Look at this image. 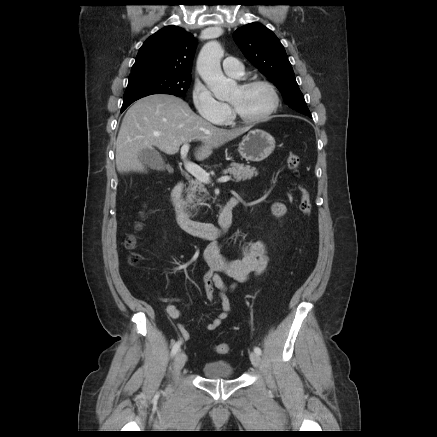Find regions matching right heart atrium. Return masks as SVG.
Returning a JSON list of instances; mask_svg holds the SVG:
<instances>
[{
  "instance_id": "d8ad5b80",
  "label": "right heart atrium",
  "mask_w": 437,
  "mask_h": 437,
  "mask_svg": "<svg viewBox=\"0 0 437 437\" xmlns=\"http://www.w3.org/2000/svg\"><path fill=\"white\" fill-rule=\"evenodd\" d=\"M192 102L197 113L212 123H222L230 114L229 106L217 99L209 88L200 82L193 86Z\"/></svg>"
}]
</instances>
